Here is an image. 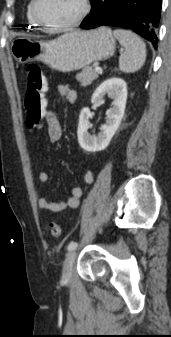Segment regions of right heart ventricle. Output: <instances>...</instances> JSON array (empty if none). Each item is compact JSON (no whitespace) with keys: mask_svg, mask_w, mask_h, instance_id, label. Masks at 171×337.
Masks as SVG:
<instances>
[{"mask_svg":"<svg viewBox=\"0 0 171 337\" xmlns=\"http://www.w3.org/2000/svg\"><path fill=\"white\" fill-rule=\"evenodd\" d=\"M32 4H33V0H29L26 5L25 15H26L27 26L29 28H39L40 25L35 21L33 17Z\"/></svg>","mask_w":171,"mask_h":337,"instance_id":"right-heart-ventricle-1","label":"right heart ventricle"}]
</instances>
